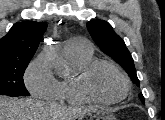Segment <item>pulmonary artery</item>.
I'll list each match as a JSON object with an SVG mask.
<instances>
[{
	"instance_id": "e3ab8cb5",
	"label": "pulmonary artery",
	"mask_w": 165,
	"mask_h": 120,
	"mask_svg": "<svg viewBox=\"0 0 165 120\" xmlns=\"http://www.w3.org/2000/svg\"><path fill=\"white\" fill-rule=\"evenodd\" d=\"M65 52H89L91 46L85 39L81 37H74L68 40L64 46Z\"/></svg>"
}]
</instances>
